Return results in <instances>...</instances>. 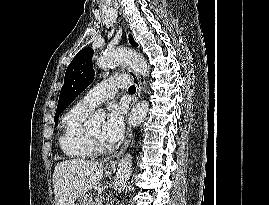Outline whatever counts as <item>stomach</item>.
I'll list each match as a JSON object with an SVG mask.
<instances>
[{
  "label": "stomach",
  "instance_id": "1",
  "mask_svg": "<svg viewBox=\"0 0 269 205\" xmlns=\"http://www.w3.org/2000/svg\"><path fill=\"white\" fill-rule=\"evenodd\" d=\"M112 170H113L112 166L106 165L104 167V171L106 174H111ZM74 205H93V201L90 196L83 194L78 197Z\"/></svg>",
  "mask_w": 269,
  "mask_h": 205
}]
</instances>
